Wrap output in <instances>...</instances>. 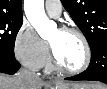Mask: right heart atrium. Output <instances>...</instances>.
Instances as JSON below:
<instances>
[{"label":"right heart atrium","instance_id":"right-heart-atrium-1","mask_svg":"<svg viewBox=\"0 0 107 89\" xmlns=\"http://www.w3.org/2000/svg\"><path fill=\"white\" fill-rule=\"evenodd\" d=\"M14 53L23 65L39 70L49 57V46L29 23L24 22L14 40Z\"/></svg>","mask_w":107,"mask_h":89}]
</instances>
